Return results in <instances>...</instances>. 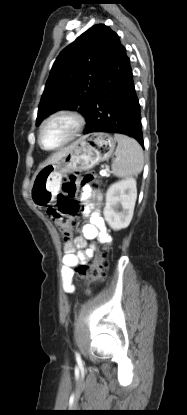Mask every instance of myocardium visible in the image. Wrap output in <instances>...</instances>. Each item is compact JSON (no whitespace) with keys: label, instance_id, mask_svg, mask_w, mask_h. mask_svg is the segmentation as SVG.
Segmentation results:
<instances>
[{"label":"myocardium","instance_id":"obj_1","mask_svg":"<svg viewBox=\"0 0 187 415\" xmlns=\"http://www.w3.org/2000/svg\"><path fill=\"white\" fill-rule=\"evenodd\" d=\"M60 117L70 119L74 124L73 130L68 136V138L64 140L62 143H60L59 145L54 146V147H47L44 145L43 140H42L44 128L50 121L56 118H60ZM84 126H85V119L79 112L70 110V109L55 110L54 112L50 113L47 117H45L43 121L41 122L39 129H38V143L45 150L53 151V150L63 148L77 138V136L80 134Z\"/></svg>","mask_w":187,"mask_h":415}]
</instances>
